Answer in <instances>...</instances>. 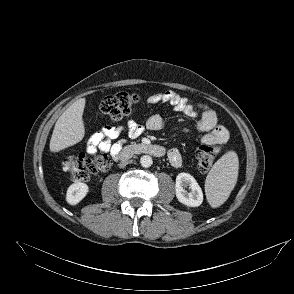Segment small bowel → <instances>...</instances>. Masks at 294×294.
<instances>
[{"label": "small bowel", "instance_id": "c3829d8e", "mask_svg": "<svg viewBox=\"0 0 294 294\" xmlns=\"http://www.w3.org/2000/svg\"><path fill=\"white\" fill-rule=\"evenodd\" d=\"M162 103L171 105L173 110L182 112L189 118L198 119L196 122V129L198 132L203 133L202 142L212 145L215 152H219L221 146L227 142L229 137L227 128L218 122L216 113L207 105L203 103H194L173 91L159 92L146 99L148 108ZM164 126V120L158 114L149 116L143 124L130 119L124 127L105 125L88 139L86 150L92 155L97 153H109L114 160H117L124 141L118 140L113 142V140L117 139L123 131H125L130 138H137L145 130L159 131L163 129ZM167 157L172 166H181L182 155L179 150H169Z\"/></svg>", "mask_w": 294, "mask_h": 294}]
</instances>
